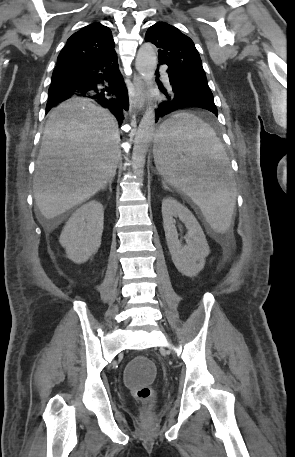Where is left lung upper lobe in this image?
Segmentation results:
<instances>
[{"label": "left lung upper lobe", "instance_id": "left-lung-upper-lobe-1", "mask_svg": "<svg viewBox=\"0 0 295 457\" xmlns=\"http://www.w3.org/2000/svg\"><path fill=\"white\" fill-rule=\"evenodd\" d=\"M145 41L159 48V61L167 64L169 68L180 71L179 79L187 86H205L210 89L193 41L176 27L165 22H157L148 28Z\"/></svg>", "mask_w": 295, "mask_h": 457}]
</instances>
